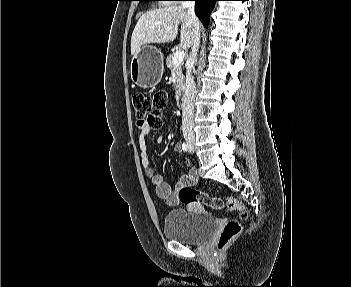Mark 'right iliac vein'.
<instances>
[{"label": "right iliac vein", "mask_w": 351, "mask_h": 287, "mask_svg": "<svg viewBox=\"0 0 351 287\" xmlns=\"http://www.w3.org/2000/svg\"><path fill=\"white\" fill-rule=\"evenodd\" d=\"M187 143L190 147H193V143H194L193 138L187 139Z\"/></svg>", "instance_id": "obj_1"}]
</instances>
